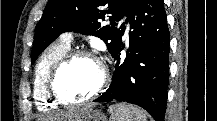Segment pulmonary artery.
Listing matches in <instances>:
<instances>
[{"label":"pulmonary artery","instance_id":"e3ab8cb5","mask_svg":"<svg viewBox=\"0 0 217 121\" xmlns=\"http://www.w3.org/2000/svg\"><path fill=\"white\" fill-rule=\"evenodd\" d=\"M124 20L126 21V33H128L130 29V24L127 17H125ZM62 39L63 41L70 44L73 41V35L72 33H66L63 35Z\"/></svg>","mask_w":217,"mask_h":121}]
</instances>
